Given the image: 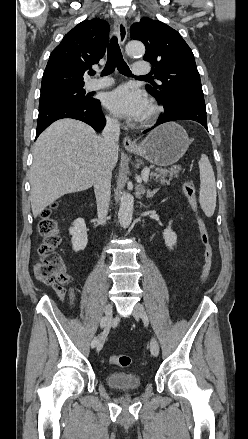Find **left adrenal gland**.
<instances>
[{"label": "left adrenal gland", "instance_id": "1", "mask_svg": "<svg viewBox=\"0 0 248 439\" xmlns=\"http://www.w3.org/2000/svg\"><path fill=\"white\" fill-rule=\"evenodd\" d=\"M143 192H145V190H143ZM156 192H157V190H153V191L148 190L147 191V197L148 198L153 197L156 194Z\"/></svg>", "mask_w": 248, "mask_h": 439}]
</instances>
